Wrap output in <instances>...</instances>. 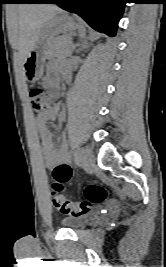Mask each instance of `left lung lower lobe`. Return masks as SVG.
I'll return each mask as SVG.
<instances>
[{
    "label": "left lung lower lobe",
    "mask_w": 166,
    "mask_h": 267,
    "mask_svg": "<svg viewBox=\"0 0 166 267\" xmlns=\"http://www.w3.org/2000/svg\"><path fill=\"white\" fill-rule=\"evenodd\" d=\"M81 16L95 30L115 36L126 0H41Z\"/></svg>",
    "instance_id": "1"
}]
</instances>
